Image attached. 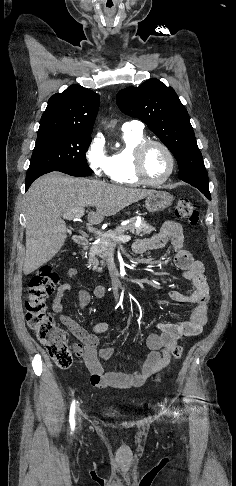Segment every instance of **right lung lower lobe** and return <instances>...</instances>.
<instances>
[{"instance_id":"right-lung-lower-lobe-1","label":"right lung lower lobe","mask_w":236,"mask_h":486,"mask_svg":"<svg viewBox=\"0 0 236 486\" xmlns=\"http://www.w3.org/2000/svg\"><path fill=\"white\" fill-rule=\"evenodd\" d=\"M49 172H52V171L51 170H42V171H36V172H32L30 174H27V178H26V182H25L26 191L28 190V188L30 187L31 183L35 179H37L41 175L46 174V173H49ZM63 173L69 174L71 176H77V177L86 176V175L78 174V173H70V172H63Z\"/></svg>"}]
</instances>
